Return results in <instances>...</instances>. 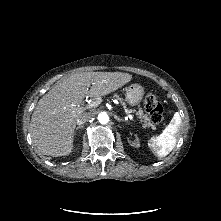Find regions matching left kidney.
<instances>
[{
  "instance_id": "1",
  "label": "left kidney",
  "mask_w": 221,
  "mask_h": 221,
  "mask_svg": "<svg viewBox=\"0 0 221 221\" xmlns=\"http://www.w3.org/2000/svg\"><path fill=\"white\" fill-rule=\"evenodd\" d=\"M130 144H131V146L136 147V148L140 146L139 140L137 138L134 142H130Z\"/></svg>"
}]
</instances>
